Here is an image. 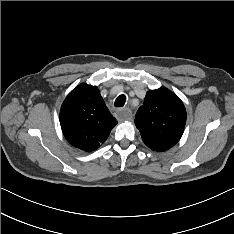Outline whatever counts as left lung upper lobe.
I'll return each mask as SVG.
<instances>
[{"label":"left lung upper lobe","mask_w":234,"mask_h":234,"mask_svg":"<svg viewBox=\"0 0 234 234\" xmlns=\"http://www.w3.org/2000/svg\"><path fill=\"white\" fill-rule=\"evenodd\" d=\"M186 109L181 99L165 87L146 93L135 125L147 146L166 140L176 144L184 131Z\"/></svg>","instance_id":"5c2ea615"}]
</instances>
